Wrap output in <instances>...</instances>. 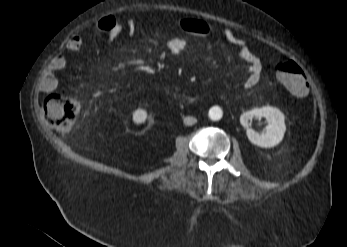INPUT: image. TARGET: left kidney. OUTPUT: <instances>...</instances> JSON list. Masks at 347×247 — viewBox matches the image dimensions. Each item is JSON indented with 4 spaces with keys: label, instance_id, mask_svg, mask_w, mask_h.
<instances>
[{
    "label": "left kidney",
    "instance_id": "left-kidney-1",
    "mask_svg": "<svg viewBox=\"0 0 347 247\" xmlns=\"http://www.w3.org/2000/svg\"><path fill=\"white\" fill-rule=\"evenodd\" d=\"M254 118H266L269 124L266 126L265 133L259 134L249 128ZM284 119V114L279 109L265 106L243 113L240 122L246 128L247 137L253 144L263 148H272L279 144L284 137L286 131Z\"/></svg>",
    "mask_w": 347,
    "mask_h": 247
}]
</instances>
